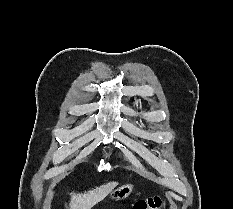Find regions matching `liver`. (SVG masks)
Masks as SVG:
<instances>
[{
  "label": "liver",
  "mask_w": 233,
  "mask_h": 209,
  "mask_svg": "<svg viewBox=\"0 0 233 209\" xmlns=\"http://www.w3.org/2000/svg\"><path fill=\"white\" fill-rule=\"evenodd\" d=\"M117 184V182H109L84 193H70L69 209H91L95 204L108 196Z\"/></svg>",
  "instance_id": "6515ba94"
}]
</instances>
